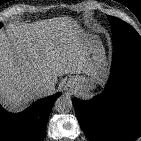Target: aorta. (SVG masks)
<instances>
[{
    "instance_id": "1",
    "label": "aorta",
    "mask_w": 141,
    "mask_h": 141,
    "mask_svg": "<svg viewBox=\"0 0 141 141\" xmlns=\"http://www.w3.org/2000/svg\"><path fill=\"white\" fill-rule=\"evenodd\" d=\"M72 101L67 96L59 97L54 104V108L57 112L66 113L72 109Z\"/></svg>"
}]
</instances>
